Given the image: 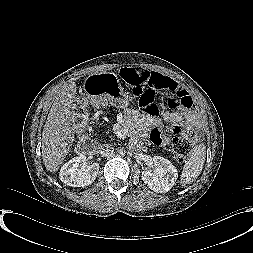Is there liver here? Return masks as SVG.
<instances>
[{
    "instance_id": "1",
    "label": "liver",
    "mask_w": 253,
    "mask_h": 253,
    "mask_svg": "<svg viewBox=\"0 0 253 253\" xmlns=\"http://www.w3.org/2000/svg\"><path fill=\"white\" fill-rule=\"evenodd\" d=\"M76 83L64 84L55 94L42 132V159L49 172L55 173L71 150L77 132L73 102Z\"/></svg>"
}]
</instances>
